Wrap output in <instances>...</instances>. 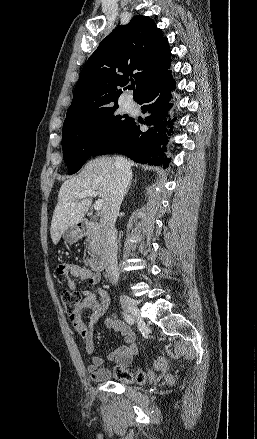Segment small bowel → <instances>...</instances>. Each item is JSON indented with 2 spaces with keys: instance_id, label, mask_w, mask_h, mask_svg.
<instances>
[{
  "instance_id": "obj_1",
  "label": "small bowel",
  "mask_w": 257,
  "mask_h": 439,
  "mask_svg": "<svg viewBox=\"0 0 257 439\" xmlns=\"http://www.w3.org/2000/svg\"><path fill=\"white\" fill-rule=\"evenodd\" d=\"M57 271L65 279L71 289L76 288L74 278L86 281L93 287L92 291L87 290L83 292V298L76 310L72 314H69V320L76 333L82 339L84 352L89 357L86 364V371L91 380L95 382L108 380L112 376V373L109 369L102 367L105 363V359L94 355L93 327L101 319L109 306L108 293L99 285L100 275L91 272L86 267L71 264H61ZM84 310L91 311L88 323L82 318V312ZM105 325L108 329L118 332L124 341L122 345L109 352L106 357L107 361L116 364V372L119 368L126 367L136 354L135 336L131 328L125 322L116 318L107 319Z\"/></svg>"
}]
</instances>
